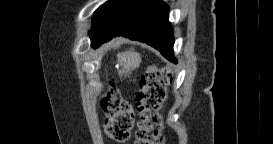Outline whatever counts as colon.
<instances>
[{
  "label": "colon",
  "mask_w": 273,
  "mask_h": 144,
  "mask_svg": "<svg viewBox=\"0 0 273 144\" xmlns=\"http://www.w3.org/2000/svg\"><path fill=\"white\" fill-rule=\"evenodd\" d=\"M170 73L164 69H151L144 75L137 92V104L140 111L138 144H162V123L159 109L166 97V85ZM102 108L106 115L105 132L116 142H125L130 137L134 123L131 106L117 91L111 90L102 99Z\"/></svg>",
  "instance_id": "5ec220e1"
}]
</instances>
